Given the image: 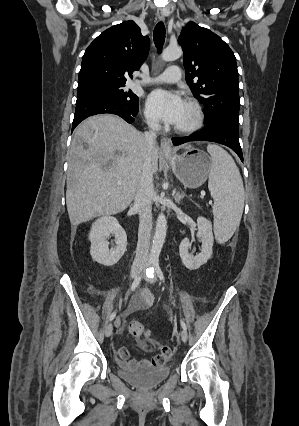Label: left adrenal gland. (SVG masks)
I'll use <instances>...</instances> for the list:
<instances>
[{"label":"left adrenal gland","instance_id":"a2214340","mask_svg":"<svg viewBox=\"0 0 299 426\" xmlns=\"http://www.w3.org/2000/svg\"><path fill=\"white\" fill-rule=\"evenodd\" d=\"M185 197V193L184 192H180V191H178V192H175V195H174V199H175V201L177 202V203H180L181 202V200L183 199Z\"/></svg>","mask_w":299,"mask_h":426}]
</instances>
